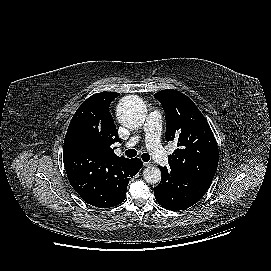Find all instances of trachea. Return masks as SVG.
<instances>
[{
	"instance_id": "trachea-1",
	"label": "trachea",
	"mask_w": 271,
	"mask_h": 271,
	"mask_svg": "<svg viewBox=\"0 0 271 271\" xmlns=\"http://www.w3.org/2000/svg\"><path fill=\"white\" fill-rule=\"evenodd\" d=\"M125 155L129 158H132V157H135L137 155V151L135 149H128L126 152H125ZM141 158L144 162H148L150 160V155L147 154V153H143L141 155Z\"/></svg>"
}]
</instances>
